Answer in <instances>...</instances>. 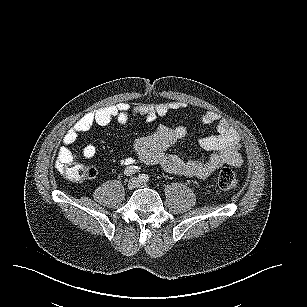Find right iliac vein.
Wrapping results in <instances>:
<instances>
[{
  "label": "right iliac vein",
  "mask_w": 307,
  "mask_h": 307,
  "mask_svg": "<svg viewBox=\"0 0 307 307\" xmlns=\"http://www.w3.org/2000/svg\"><path fill=\"white\" fill-rule=\"evenodd\" d=\"M137 183H138V179L134 177L128 182L127 188L129 190H133L136 187Z\"/></svg>",
  "instance_id": "1"
}]
</instances>
